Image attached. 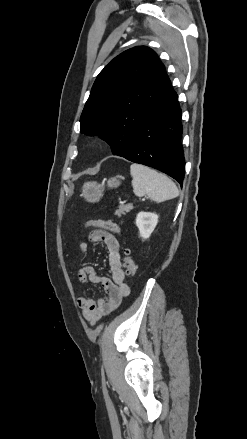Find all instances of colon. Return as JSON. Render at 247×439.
I'll use <instances>...</instances> for the list:
<instances>
[{"label": "colon", "mask_w": 247, "mask_h": 439, "mask_svg": "<svg viewBox=\"0 0 247 439\" xmlns=\"http://www.w3.org/2000/svg\"><path fill=\"white\" fill-rule=\"evenodd\" d=\"M84 225L85 226L99 227V228L113 231L115 233H120V227L111 221L88 220L87 222H85ZM124 255H125V257H124V273H125L126 277L130 278L134 275V273L136 271V265H135V262L131 256L130 249L126 248L124 250Z\"/></svg>", "instance_id": "1"}]
</instances>
